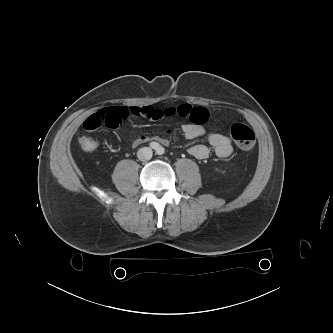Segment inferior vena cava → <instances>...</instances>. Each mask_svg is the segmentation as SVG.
<instances>
[{
    "label": "inferior vena cava",
    "mask_w": 333,
    "mask_h": 333,
    "mask_svg": "<svg viewBox=\"0 0 333 333\" xmlns=\"http://www.w3.org/2000/svg\"><path fill=\"white\" fill-rule=\"evenodd\" d=\"M153 151L149 147H143L138 150L137 157L140 161H149L152 158Z\"/></svg>",
    "instance_id": "obj_1"
}]
</instances>
